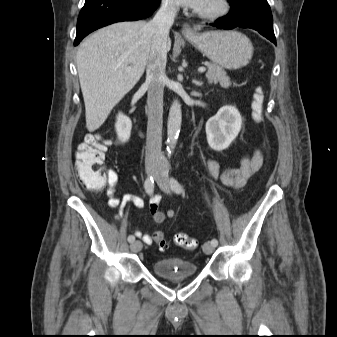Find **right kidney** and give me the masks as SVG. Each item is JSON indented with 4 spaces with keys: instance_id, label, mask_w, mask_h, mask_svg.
Returning a JSON list of instances; mask_svg holds the SVG:
<instances>
[{
    "instance_id": "ca27d5eb",
    "label": "right kidney",
    "mask_w": 337,
    "mask_h": 337,
    "mask_svg": "<svg viewBox=\"0 0 337 337\" xmlns=\"http://www.w3.org/2000/svg\"><path fill=\"white\" fill-rule=\"evenodd\" d=\"M115 129L119 140L121 142H127L130 138L132 122L127 116L119 113L115 123Z\"/></svg>"
}]
</instances>
